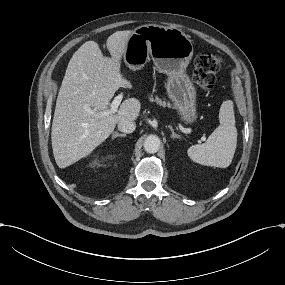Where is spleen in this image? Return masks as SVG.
<instances>
[{"mask_svg": "<svg viewBox=\"0 0 285 285\" xmlns=\"http://www.w3.org/2000/svg\"><path fill=\"white\" fill-rule=\"evenodd\" d=\"M220 125L211 133L206 143L188 148L187 155L196 164L227 168L234 156L237 130L232 101L222 103L219 113Z\"/></svg>", "mask_w": 285, "mask_h": 285, "instance_id": "obj_1", "label": "spleen"}]
</instances>
